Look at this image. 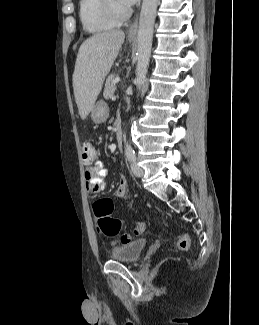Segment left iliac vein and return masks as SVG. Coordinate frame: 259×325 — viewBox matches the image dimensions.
I'll return each mask as SVG.
<instances>
[{
    "instance_id": "4c4485c4",
    "label": "left iliac vein",
    "mask_w": 259,
    "mask_h": 325,
    "mask_svg": "<svg viewBox=\"0 0 259 325\" xmlns=\"http://www.w3.org/2000/svg\"><path fill=\"white\" fill-rule=\"evenodd\" d=\"M131 171L136 177H142L144 173L143 169L135 161L131 164Z\"/></svg>"
}]
</instances>
